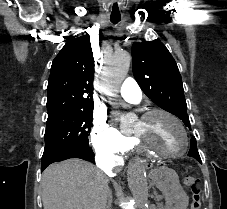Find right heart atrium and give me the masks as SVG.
<instances>
[{"label": "right heart atrium", "mask_w": 227, "mask_h": 209, "mask_svg": "<svg viewBox=\"0 0 227 209\" xmlns=\"http://www.w3.org/2000/svg\"><path fill=\"white\" fill-rule=\"evenodd\" d=\"M129 138L103 118H96L92 127L93 150L102 156L117 157L125 153Z\"/></svg>", "instance_id": "right-heart-atrium-1"}]
</instances>
